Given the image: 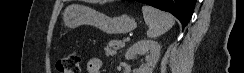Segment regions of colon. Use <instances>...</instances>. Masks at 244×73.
<instances>
[{
	"label": "colon",
	"instance_id": "1",
	"mask_svg": "<svg viewBox=\"0 0 244 73\" xmlns=\"http://www.w3.org/2000/svg\"><path fill=\"white\" fill-rule=\"evenodd\" d=\"M81 56L78 51H71L57 62L59 73H80Z\"/></svg>",
	"mask_w": 244,
	"mask_h": 73
}]
</instances>
